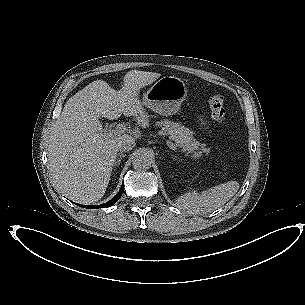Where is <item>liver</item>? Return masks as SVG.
Instances as JSON below:
<instances>
[{
    "mask_svg": "<svg viewBox=\"0 0 305 305\" xmlns=\"http://www.w3.org/2000/svg\"><path fill=\"white\" fill-rule=\"evenodd\" d=\"M160 74H153L154 81ZM138 116L141 127L149 126V116L129 91L117 92L97 80L73 95L51 128L48 141L49 170L60 190L84 204L100 200L108 186L118 142L132 137L102 131L99 118L117 119L121 114Z\"/></svg>",
    "mask_w": 305,
    "mask_h": 305,
    "instance_id": "liver-1",
    "label": "liver"
}]
</instances>
